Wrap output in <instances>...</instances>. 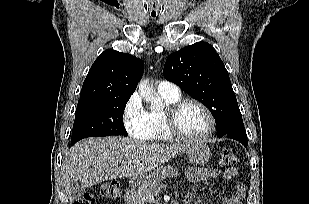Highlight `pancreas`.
Here are the masks:
<instances>
[{"label":"pancreas","mask_w":309,"mask_h":204,"mask_svg":"<svg viewBox=\"0 0 309 204\" xmlns=\"http://www.w3.org/2000/svg\"><path fill=\"white\" fill-rule=\"evenodd\" d=\"M178 170L170 165L160 166L152 173L147 175L139 184L137 190L133 191L136 201L141 204L152 202L154 200V193L159 183L166 177H177Z\"/></svg>","instance_id":"cf45deb5"}]
</instances>
